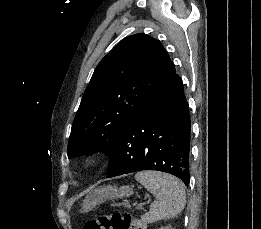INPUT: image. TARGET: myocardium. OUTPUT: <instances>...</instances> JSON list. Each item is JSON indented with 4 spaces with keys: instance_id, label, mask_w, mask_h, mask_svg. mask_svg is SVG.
I'll list each match as a JSON object with an SVG mask.
<instances>
[{
    "instance_id": "f54148a6",
    "label": "myocardium",
    "mask_w": 261,
    "mask_h": 229,
    "mask_svg": "<svg viewBox=\"0 0 261 229\" xmlns=\"http://www.w3.org/2000/svg\"><path fill=\"white\" fill-rule=\"evenodd\" d=\"M98 162V155L95 152L87 153L83 159V165L86 168L94 167Z\"/></svg>"
}]
</instances>
